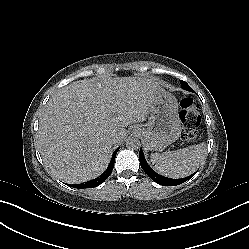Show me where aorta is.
<instances>
[{"label": "aorta", "mask_w": 249, "mask_h": 249, "mask_svg": "<svg viewBox=\"0 0 249 249\" xmlns=\"http://www.w3.org/2000/svg\"><path fill=\"white\" fill-rule=\"evenodd\" d=\"M125 145L128 149H138L140 147V141L136 137H128Z\"/></svg>", "instance_id": "762f6f07"}]
</instances>
